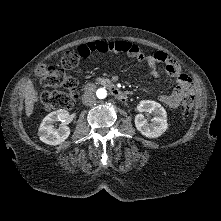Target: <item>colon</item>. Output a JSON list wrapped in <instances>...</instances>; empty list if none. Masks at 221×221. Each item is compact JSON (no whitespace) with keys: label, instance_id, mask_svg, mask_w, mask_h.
<instances>
[{"label":"colon","instance_id":"colon-1","mask_svg":"<svg viewBox=\"0 0 221 221\" xmlns=\"http://www.w3.org/2000/svg\"><path fill=\"white\" fill-rule=\"evenodd\" d=\"M81 55L75 51L66 52L62 59L61 65L63 69H73L78 66ZM41 82L44 87L57 89L63 88L64 91H45L40 96L43 107L47 110L53 109H69L78 98L77 80L66 74L62 69L49 66L43 69ZM193 107V99L186 98L183 101V111L188 113Z\"/></svg>","mask_w":221,"mask_h":221}]
</instances>
